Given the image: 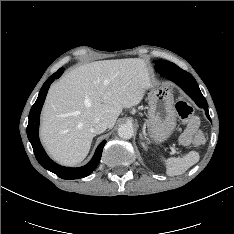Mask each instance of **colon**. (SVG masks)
<instances>
[{"mask_svg":"<svg viewBox=\"0 0 234 234\" xmlns=\"http://www.w3.org/2000/svg\"><path fill=\"white\" fill-rule=\"evenodd\" d=\"M175 109L179 118L187 125V127L194 128L195 130L197 129V118L193 114L191 105L184 98H177ZM193 144L195 147H202L205 144V137L201 132L196 133Z\"/></svg>","mask_w":234,"mask_h":234,"instance_id":"obj_1","label":"colon"}]
</instances>
